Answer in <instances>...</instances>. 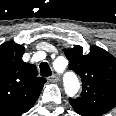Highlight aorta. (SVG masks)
Masks as SVG:
<instances>
[{"label":"aorta","instance_id":"aorta-1","mask_svg":"<svg viewBox=\"0 0 116 116\" xmlns=\"http://www.w3.org/2000/svg\"><path fill=\"white\" fill-rule=\"evenodd\" d=\"M65 91L69 96H73L80 88L78 78L73 73H67L64 78Z\"/></svg>","mask_w":116,"mask_h":116}]
</instances>
